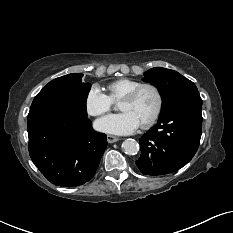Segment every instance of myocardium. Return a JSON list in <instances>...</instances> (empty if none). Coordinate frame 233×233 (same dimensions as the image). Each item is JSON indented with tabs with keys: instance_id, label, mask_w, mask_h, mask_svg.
Returning a JSON list of instances; mask_svg holds the SVG:
<instances>
[{
	"instance_id": "myocardium-1",
	"label": "myocardium",
	"mask_w": 233,
	"mask_h": 233,
	"mask_svg": "<svg viewBox=\"0 0 233 233\" xmlns=\"http://www.w3.org/2000/svg\"><path fill=\"white\" fill-rule=\"evenodd\" d=\"M144 88L153 89L154 92L156 93V96H157V106H156L154 113L146 122L141 124L142 128H148V127L152 126L157 121V119L159 118L160 113L162 111L163 97H162V93H161L160 89L155 84L142 83L139 86H137L136 88H134L133 90H131L128 94H126L121 99V101H133L138 96V94L141 92V90H143Z\"/></svg>"
}]
</instances>
